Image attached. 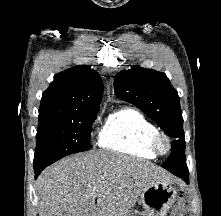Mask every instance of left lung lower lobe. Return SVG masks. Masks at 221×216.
<instances>
[{
    "instance_id": "obj_1",
    "label": "left lung lower lobe",
    "mask_w": 221,
    "mask_h": 216,
    "mask_svg": "<svg viewBox=\"0 0 221 216\" xmlns=\"http://www.w3.org/2000/svg\"><path fill=\"white\" fill-rule=\"evenodd\" d=\"M177 168L171 173L182 178L184 181L189 182V173L186 165L185 154L175 155Z\"/></svg>"
}]
</instances>
